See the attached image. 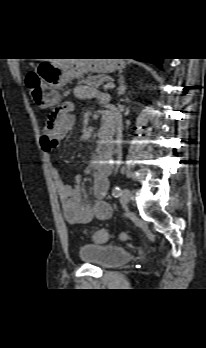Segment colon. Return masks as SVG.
<instances>
[{
  "mask_svg": "<svg viewBox=\"0 0 206 348\" xmlns=\"http://www.w3.org/2000/svg\"><path fill=\"white\" fill-rule=\"evenodd\" d=\"M26 87L32 96L36 99L43 91L42 82L39 75L35 72H29L25 78ZM108 233L103 229H98L94 232L93 238L98 243H103L108 240ZM127 235H122V239L126 240Z\"/></svg>",
  "mask_w": 206,
  "mask_h": 348,
  "instance_id": "5ec220e1",
  "label": "colon"
}]
</instances>
